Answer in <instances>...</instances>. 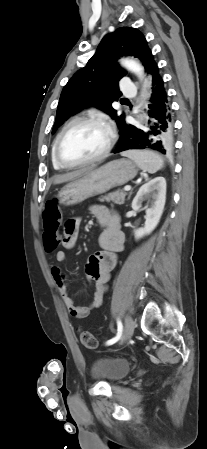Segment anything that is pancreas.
Returning <instances> with one entry per match:
<instances>
[{
	"instance_id": "1",
	"label": "pancreas",
	"mask_w": 207,
	"mask_h": 449,
	"mask_svg": "<svg viewBox=\"0 0 207 449\" xmlns=\"http://www.w3.org/2000/svg\"><path fill=\"white\" fill-rule=\"evenodd\" d=\"M126 195H127L126 192H124L122 190L121 191L117 190L115 192H111V193L107 194L106 196H102L101 198H99V201H101V202L112 201L115 204L122 205L125 202Z\"/></svg>"
}]
</instances>
